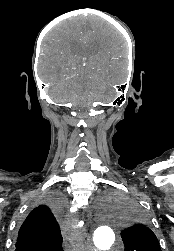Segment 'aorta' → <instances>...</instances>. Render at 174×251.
I'll return each mask as SVG.
<instances>
[{
    "instance_id": "aorta-1",
    "label": "aorta",
    "mask_w": 174,
    "mask_h": 251,
    "mask_svg": "<svg viewBox=\"0 0 174 251\" xmlns=\"http://www.w3.org/2000/svg\"><path fill=\"white\" fill-rule=\"evenodd\" d=\"M112 213L110 204L104 203L96 220V229L93 234L94 244L99 250H108L114 243L115 221Z\"/></svg>"
}]
</instances>
